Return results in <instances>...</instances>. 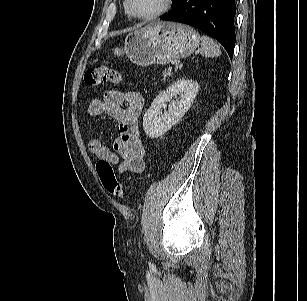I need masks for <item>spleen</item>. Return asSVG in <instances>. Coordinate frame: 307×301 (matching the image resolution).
Masks as SVG:
<instances>
[{"label": "spleen", "mask_w": 307, "mask_h": 301, "mask_svg": "<svg viewBox=\"0 0 307 301\" xmlns=\"http://www.w3.org/2000/svg\"><path fill=\"white\" fill-rule=\"evenodd\" d=\"M201 55L205 57H218L221 55L220 47L208 36L201 37Z\"/></svg>", "instance_id": "1"}]
</instances>
